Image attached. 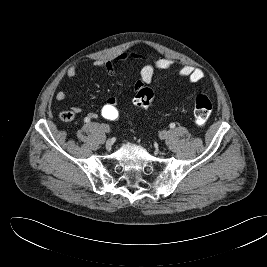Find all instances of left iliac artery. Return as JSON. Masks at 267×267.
Instances as JSON below:
<instances>
[{"instance_id":"obj_1","label":"left iliac artery","mask_w":267,"mask_h":267,"mask_svg":"<svg viewBox=\"0 0 267 267\" xmlns=\"http://www.w3.org/2000/svg\"><path fill=\"white\" fill-rule=\"evenodd\" d=\"M170 127H171V128H174V127H175V124H174V123H171V124H170Z\"/></svg>"}]
</instances>
